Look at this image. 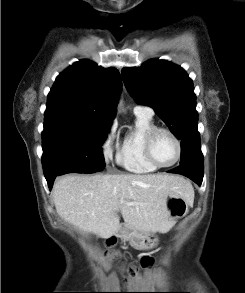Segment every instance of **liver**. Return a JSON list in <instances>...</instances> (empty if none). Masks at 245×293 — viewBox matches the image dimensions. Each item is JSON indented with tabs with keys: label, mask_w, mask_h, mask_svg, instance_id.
<instances>
[{
	"label": "liver",
	"mask_w": 245,
	"mask_h": 293,
	"mask_svg": "<svg viewBox=\"0 0 245 293\" xmlns=\"http://www.w3.org/2000/svg\"><path fill=\"white\" fill-rule=\"evenodd\" d=\"M168 196L193 204L194 192L182 177L169 174L66 175L53 187L58 215L82 231L110 238L124 226L145 233H166L174 224ZM127 203H132L128 205Z\"/></svg>",
	"instance_id": "liver-1"
}]
</instances>
